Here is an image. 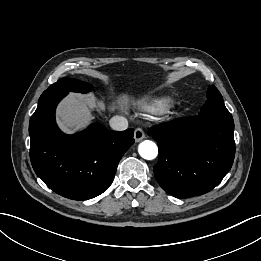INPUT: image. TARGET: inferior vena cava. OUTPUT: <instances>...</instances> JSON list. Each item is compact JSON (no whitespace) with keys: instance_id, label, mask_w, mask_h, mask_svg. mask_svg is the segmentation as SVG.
Listing matches in <instances>:
<instances>
[{"instance_id":"602c4592","label":"inferior vena cava","mask_w":261,"mask_h":261,"mask_svg":"<svg viewBox=\"0 0 261 261\" xmlns=\"http://www.w3.org/2000/svg\"><path fill=\"white\" fill-rule=\"evenodd\" d=\"M110 127L116 131H123L128 128V121L123 116H113L109 121Z\"/></svg>"}]
</instances>
